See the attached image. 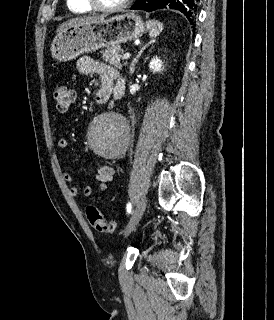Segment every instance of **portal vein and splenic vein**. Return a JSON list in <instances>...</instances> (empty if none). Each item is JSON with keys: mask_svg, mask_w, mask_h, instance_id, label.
Masks as SVG:
<instances>
[{"mask_svg": "<svg viewBox=\"0 0 274 320\" xmlns=\"http://www.w3.org/2000/svg\"><path fill=\"white\" fill-rule=\"evenodd\" d=\"M122 60H128V58H130V54H123V56H121Z\"/></svg>", "mask_w": 274, "mask_h": 320, "instance_id": "1", "label": "portal vein and splenic vein"}]
</instances>
